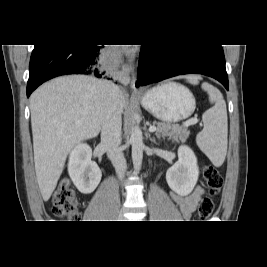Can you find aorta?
Masks as SVG:
<instances>
[{"instance_id": "aorta-1", "label": "aorta", "mask_w": 267, "mask_h": 267, "mask_svg": "<svg viewBox=\"0 0 267 267\" xmlns=\"http://www.w3.org/2000/svg\"><path fill=\"white\" fill-rule=\"evenodd\" d=\"M134 117H136V115H134ZM130 140L132 144L133 166L134 170L137 172L141 169L143 159V136L142 131L138 125L132 127Z\"/></svg>"}]
</instances>
